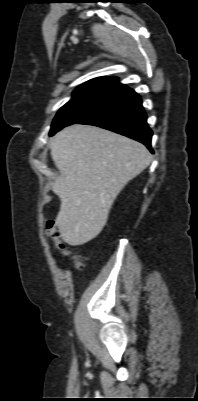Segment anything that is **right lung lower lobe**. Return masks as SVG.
I'll return each instance as SVG.
<instances>
[{
    "instance_id": "obj_1",
    "label": "right lung lower lobe",
    "mask_w": 198,
    "mask_h": 401,
    "mask_svg": "<svg viewBox=\"0 0 198 401\" xmlns=\"http://www.w3.org/2000/svg\"><path fill=\"white\" fill-rule=\"evenodd\" d=\"M146 118L139 95L120 84L108 93L97 109L77 123L99 126L130 137L143 143L153 152L152 131Z\"/></svg>"
}]
</instances>
